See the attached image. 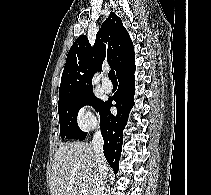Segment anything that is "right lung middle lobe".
I'll use <instances>...</instances> for the list:
<instances>
[{
	"instance_id": "1",
	"label": "right lung middle lobe",
	"mask_w": 211,
	"mask_h": 195,
	"mask_svg": "<svg viewBox=\"0 0 211 195\" xmlns=\"http://www.w3.org/2000/svg\"><path fill=\"white\" fill-rule=\"evenodd\" d=\"M104 103L105 102L98 99L93 92L76 99L59 103L58 113L61 138L84 140L87 133L82 132L77 124L79 109L85 105H90L100 113Z\"/></svg>"
}]
</instances>
